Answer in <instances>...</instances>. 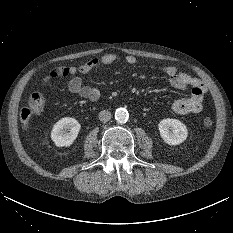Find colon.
Returning <instances> with one entry per match:
<instances>
[{
  "label": "colon",
  "instance_id": "obj_1",
  "mask_svg": "<svg viewBox=\"0 0 233 233\" xmlns=\"http://www.w3.org/2000/svg\"><path fill=\"white\" fill-rule=\"evenodd\" d=\"M45 101L41 94L33 93L27 99L26 105L20 111V120L27 126L32 117L38 116L44 109ZM205 127H211L213 120L209 117L203 119Z\"/></svg>",
  "mask_w": 233,
  "mask_h": 233
}]
</instances>
